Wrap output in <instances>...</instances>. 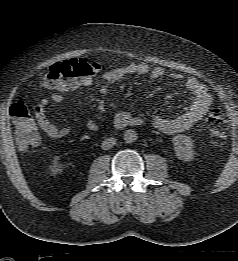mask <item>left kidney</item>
I'll return each mask as SVG.
<instances>
[{
	"instance_id": "1",
	"label": "left kidney",
	"mask_w": 238,
	"mask_h": 261,
	"mask_svg": "<svg viewBox=\"0 0 238 261\" xmlns=\"http://www.w3.org/2000/svg\"><path fill=\"white\" fill-rule=\"evenodd\" d=\"M173 145L176 156L182 161H191L194 157V144L189 136L176 135L173 138Z\"/></svg>"
}]
</instances>
